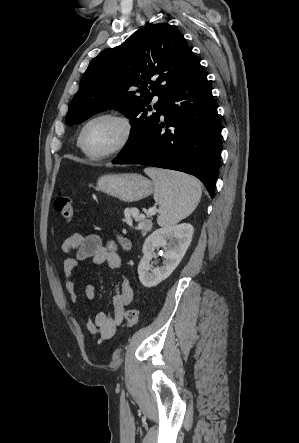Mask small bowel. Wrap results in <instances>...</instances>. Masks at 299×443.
I'll list each match as a JSON object with an SVG mask.
<instances>
[{
    "instance_id": "1",
    "label": "small bowel",
    "mask_w": 299,
    "mask_h": 443,
    "mask_svg": "<svg viewBox=\"0 0 299 443\" xmlns=\"http://www.w3.org/2000/svg\"><path fill=\"white\" fill-rule=\"evenodd\" d=\"M119 241L124 248H129L127 239L119 237ZM60 249L63 253L75 251V256L66 258L63 265L66 277L65 290L75 308L78 296L72 276L74 269L81 261L90 259L94 264H105L114 271L120 269L122 265L121 255L115 244L106 245L96 234L82 235L74 232L62 242ZM85 296L90 301L95 299L94 285H87ZM133 296V288L127 278L123 277L112 299V313L99 312L93 318H88L86 321L87 331L92 335H99L100 342L112 339L117 327L123 321L126 307L133 301Z\"/></svg>"
}]
</instances>
